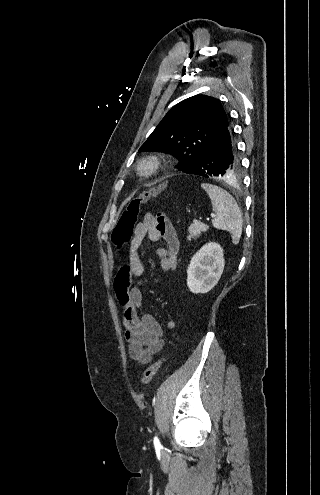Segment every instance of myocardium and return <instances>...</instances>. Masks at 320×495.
<instances>
[{"label":"myocardium","mask_w":320,"mask_h":495,"mask_svg":"<svg viewBox=\"0 0 320 495\" xmlns=\"http://www.w3.org/2000/svg\"><path fill=\"white\" fill-rule=\"evenodd\" d=\"M164 163L165 161L160 155H147L136 163V171L140 176L151 177L162 169Z\"/></svg>","instance_id":"1"}]
</instances>
